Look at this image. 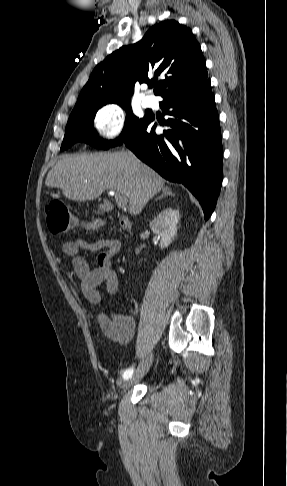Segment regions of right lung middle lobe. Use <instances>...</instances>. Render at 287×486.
<instances>
[{
  "label": "right lung middle lobe",
  "mask_w": 287,
  "mask_h": 486,
  "mask_svg": "<svg viewBox=\"0 0 287 486\" xmlns=\"http://www.w3.org/2000/svg\"><path fill=\"white\" fill-rule=\"evenodd\" d=\"M130 99L118 100L110 103H117L123 107L127 112V117L121 137L114 141L100 140L96 137V132L93 129V120L99 108L107 103L93 105L85 110L71 113L67 122L64 140L61 150L69 148L75 142H86L98 148L108 149L110 146L119 145L125 140L134 130L141 126L147 115L143 118L136 117L131 110Z\"/></svg>",
  "instance_id": "dd1d6c3e"
}]
</instances>
